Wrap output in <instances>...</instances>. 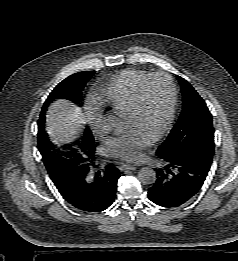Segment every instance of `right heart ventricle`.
I'll list each match as a JSON object with an SVG mask.
<instances>
[{
  "label": "right heart ventricle",
  "mask_w": 238,
  "mask_h": 261,
  "mask_svg": "<svg viewBox=\"0 0 238 261\" xmlns=\"http://www.w3.org/2000/svg\"><path fill=\"white\" fill-rule=\"evenodd\" d=\"M148 75L149 72L140 69L121 72L102 89L97 103L110 106L116 111H128L134 102L138 86Z\"/></svg>",
  "instance_id": "obj_1"
}]
</instances>
